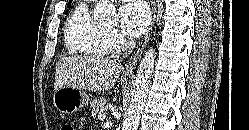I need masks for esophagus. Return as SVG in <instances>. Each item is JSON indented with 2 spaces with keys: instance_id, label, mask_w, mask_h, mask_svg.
<instances>
[{
  "instance_id": "34e87169",
  "label": "esophagus",
  "mask_w": 249,
  "mask_h": 130,
  "mask_svg": "<svg viewBox=\"0 0 249 130\" xmlns=\"http://www.w3.org/2000/svg\"><path fill=\"white\" fill-rule=\"evenodd\" d=\"M151 23L150 26L145 34V36L143 37V39L139 42V44L137 45L135 51L133 52V54L131 55L128 64L126 65V69H125V73L126 74H131L133 72V70L135 69L138 60L141 57V54L144 50V48L146 47L150 36L152 34L154 25H155V21H156V3L154 0H151Z\"/></svg>"
}]
</instances>
